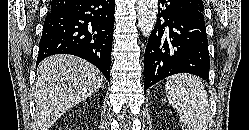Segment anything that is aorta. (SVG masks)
<instances>
[{
    "label": "aorta",
    "instance_id": "obj_1",
    "mask_svg": "<svg viewBox=\"0 0 249 130\" xmlns=\"http://www.w3.org/2000/svg\"><path fill=\"white\" fill-rule=\"evenodd\" d=\"M158 12V0H138V23L144 37L152 33Z\"/></svg>",
    "mask_w": 249,
    "mask_h": 130
}]
</instances>
